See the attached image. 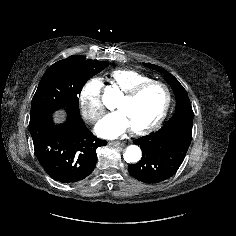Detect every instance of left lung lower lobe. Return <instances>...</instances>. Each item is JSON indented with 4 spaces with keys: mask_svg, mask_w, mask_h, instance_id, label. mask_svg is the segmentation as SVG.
I'll use <instances>...</instances> for the list:
<instances>
[{
    "mask_svg": "<svg viewBox=\"0 0 236 236\" xmlns=\"http://www.w3.org/2000/svg\"><path fill=\"white\" fill-rule=\"evenodd\" d=\"M193 116L191 104H182L161 129L134 140L142 149V158L136 164H129V173L139 181L152 184L173 176L190 146Z\"/></svg>",
    "mask_w": 236,
    "mask_h": 236,
    "instance_id": "obj_1",
    "label": "left lung lower lobe"
}]
</instances>
